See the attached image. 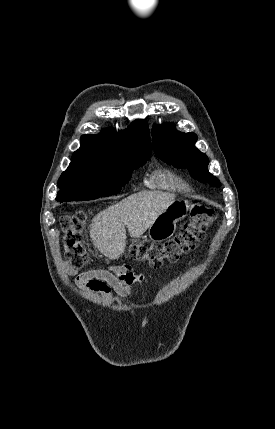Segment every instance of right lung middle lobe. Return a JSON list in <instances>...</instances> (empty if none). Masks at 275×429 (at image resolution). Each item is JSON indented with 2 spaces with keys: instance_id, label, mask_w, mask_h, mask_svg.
<instances>
[{
  "instance_id": "1",
  "label": "right lung middle lobe",
  "mask_w": 275,
  "mask_h": 429,
  "mask_svg": "<svg viewBox=\"0 0 275 429\" xmlns=\"http://www.w3.org/2000/svg\"><path fill=\"white\" fill-rule=\"evenodd\" d=\"M150 155H124L107 161L71 162L58 181L56 200L84 201L118 193L130 180L132 171L149 160Z\"/></svg>"
}]
</instances>
